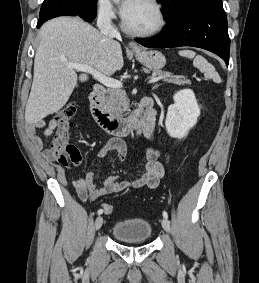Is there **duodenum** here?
<instances>
[{
    "label": "duodenum",
    "mask_w": 259,
    "mask_h": 283,
    "mask_svg": "<svg viewBox=\"0 0 259 283\" xmlns=\"http://www.w3.org/2000/svg\"><path fill=\"white\" fill-rule=\"evenodd\" d=\"M105 90L96 85L90 94V110L94 119L102 129L110 134L126 136L136 130L149 126L155 116L152 102L149 99L142 101L136 113L126 118L112 116L103 104Z\"/></svg>",
    "instance_id": "obj_1"
}]
</instances>
